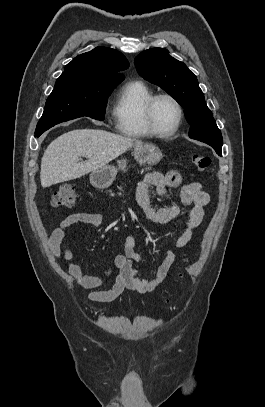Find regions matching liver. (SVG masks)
<instances>
[{
  "mask_svg": "<svg viewBox=\"0 0 265 407\" xmlns=\"http://www.w3.org/2000/svg\"><path fill=\"white\" fill-rule=\"evenodd\" d=\"M142 141L98 129H77L53 140L41 161L42 187L80 178L106 166ZM80 157L87 160L79 162Z\"/></svg>",
  "mask_w": 265,
  "mask_h": 407,
  "instance_id": "6515ba94",
  "label": "liver"
}]
</instances>
